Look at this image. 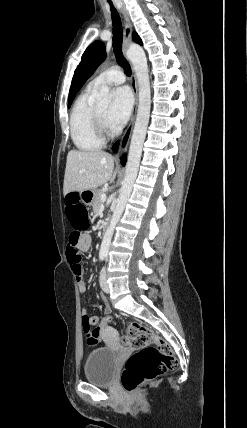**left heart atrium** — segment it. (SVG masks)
Instances as JSON below:
<instances>
[{
	"label": "left heart atrium",
	"instance_id": "obj_1",
	"mask_svg": "<svg viewBox=\"0 0 247 428\" xmlns=\"http://www.w3.org/2000/svg\"><path fill=\"white\" fill-rule=\"evenodd\" d=\"M133 106L131 92L126 87L118 88L113 93V100L106 114L108 126L118 128L123 126L130 117Z\"/></svg>",
	"mask_w": 247,
	"mask_h": 428
}]
</instances>
